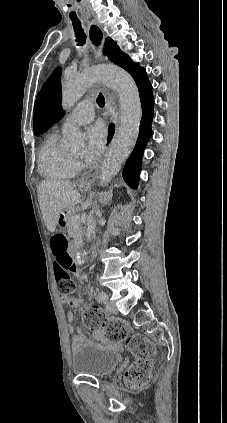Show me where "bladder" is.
<instances>
[{
  "label": "bladder",
  "instance_id": "obj_1",
  "mask_svg": "<svg viewBox=\"0 0 227 423\" xmlns=\"http://www.w3.org/2000/svg\"><path fill=\"white\" fill-rule=\"evenodd\" d=\"M122 363L118 351L105 349L96 343L84 344L83 347L72 355V371L79 376H91L97 379L108 378L115 373Z\"/></svg>",
  "mask_w": 227,
  "mask_h": 423
}]
</instances>
